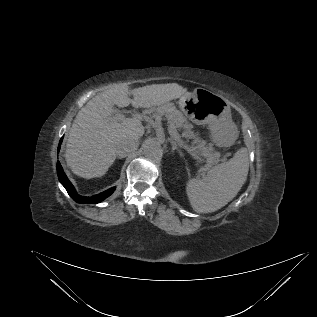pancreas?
<instances>
[{
	"mask_svg": "<svg viewBox=\"0 0 317 317\" xmlns=\"http://www.w3.org/2000/svg\"><path fill=\"white\" fill-rule=\"evenodd\" d=\"M149 113H153L152 117L154 118L165 115L170 127L175 131H177V128L182 129L183 137L193 139L192 146L187 149L197 162H202L205 159L206 164L200 168V172L207 170L219 161L220 154L214 150L212 144H207L206 141L201 140L199 135L194 133L193 125L171 103L162 104L156 109L149 110Z\"/></svg>",
	"mask_w": 317,
	"mask_h": 317,
	"instance_id": "pancreas-1",
	"label": "pancreas"
}]
</instances>
